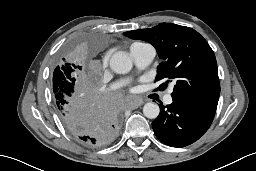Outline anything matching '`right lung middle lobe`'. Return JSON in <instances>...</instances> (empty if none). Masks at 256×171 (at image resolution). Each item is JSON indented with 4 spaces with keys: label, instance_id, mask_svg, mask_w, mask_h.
Returning <instances> with one entry per match:
<instances>
[{
    "label": "right lung middle lobe",
    "instance_id": "obj_1",
    "mask_svg": "<svg viewBox=\"0 0 256 171\" xmlns=\"http://www.w3.org/2000/svg\"><path fill=\"white\" fill-rule=\"evenodd\" d=\"M77 69L69 58H62L53 73V92L57 107H68L75 103L87 91L77 83Z\"/></svg>",
    "mask_w": 256,
    "mask_h": 171
}]
</instances>
